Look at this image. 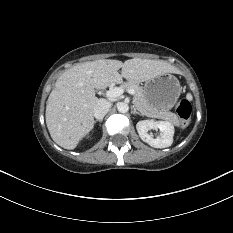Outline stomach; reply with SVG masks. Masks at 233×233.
<instances>
[{
    "label": "stomach",
    "instance_id": "stomach-1",
    "mask_svg": "<svg viewBox=\"0 0 233 233\" xmlns=\"http://www.w3.org/2000/svg\"><path fill=\"white\" fill-rule=\"evenodd\" d=\"M143 92L151 106L168 111L178 101L181 86L175 76L166 73L146 81Z\"/></svg>",
    "mask_w": 233,
    "mask_h": 233
}]
</instances>
